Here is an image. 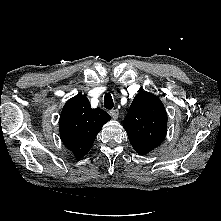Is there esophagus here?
Listing matches in <instances>:
<instances>
[{"instance_id": "1", "label": "esophagus", "mask_w": 221, "mask_h": 221, "mask_svg": "<svg viewBox=\"0 0 221 221\" xmlns=\"http://www.w3.org/2000/svg\"><path fill=\"white\" fill-rule=\"evenodd\" d=\"M110 115L112 116L113 119H117L119 115V111L117 109L111 110Z\"/></svg>"}]
</instances>
